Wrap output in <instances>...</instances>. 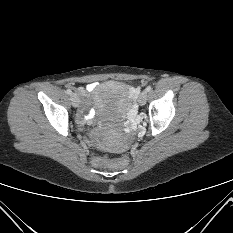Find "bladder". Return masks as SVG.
<instances>
[{"label": "bladder", "mask_w": 233, "mask_h": 233, "mask_svg": "<svg viewBox=\"0 0 233 233\" xmlns=\"http://www.w3.org/2000/svg\"><path fill=\"white\" fill-rule=\"evenodd\" d=\"M128 87L119 81H107L98 85L93 93L95 108L107 116H120L128 106ZM102 145L112 150H121L123 145L111 140H102Z\"/></svg>", "instance_id": "bladder-1"}]
</instances>
